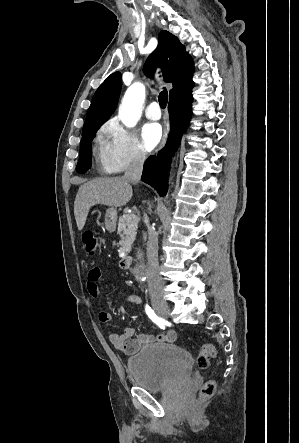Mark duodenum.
I'll use <instances>...</instances> for the list:
<instances>
[{
	"mask_svg": "<svg viewBox=\"0 0 299 443\" xmlns=\"http://www.w3.org/2000/svg\"><path fill=\"white\" fill-rule=\"evenodd\" d=\"M133 258L129 255L123 256L119 259V268L120 269H129L132 265Z\"/></svg>",
	"mask_w": 299,
	"mask_h": 443,
	"instance_id": "obj_1",
	"label": "duodenum"
}]
</instances>
